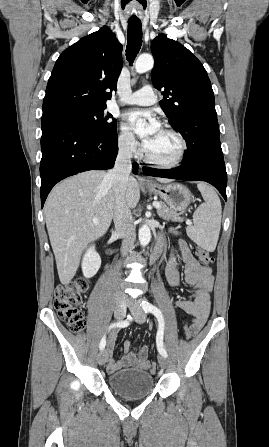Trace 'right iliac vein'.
I'll use <instances>...</instances> for the list:
<instances>
[{
    "label": "right iliac vein",
    "instance_id": "63e3f726",
    "mask_svg": "<svg viewBox=\"0 0 269 447\" xmlns=\"http://www.w3.org/2000/svg\"><path fill=\"white\" fill-rule=\"evenodd\" d=\"M126 307H127V303L124 298H122V297L116 298V306H115V311H114V315H115L116 319L122 320L125 317ZM107 359H108V351H107V349H102L98 354L97 361L100 365H103L106 363Z\"/></svg>",
    "mask_w": 269,
    "mask_h": 447
}]
</instances>
